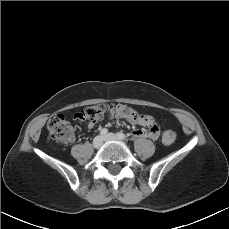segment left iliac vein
I'll use <instances>...</instances> for the list:
<instances>
[{"label":"left iliac vein","instance_id":"1","mask_svg":"<svg viewBox=\"0 0 229 229\" xmlns=\"http://www.w3.org/2000/svg\"><path fill=\"white\" fill-rule=\"evenodd\" d=\"M104 141H122L117 135L113 133H108L106 136H104Z\"/></svg>","mask_w":229,"mask_h":229}]
</instances>
